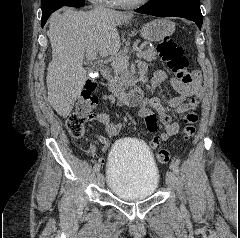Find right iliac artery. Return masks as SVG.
<instances>
[{
  "mask_svg": "<svg viewBox=\"0 0 240 238\" xmlns=\"http://www.w3.org/2000/svg\"><path fill=\"white\" fill-rule=\"evenodd\" d=\"M94 171L97 173L100 171V165L99 164H95L94 166Z\"/></svg>",
  "mask_w": 240,
  "mask_h": 238,
  "instance_id": "right-iliac-artery-1",
  "label": "right iliac artery"
}]
</instances>
